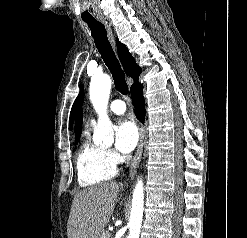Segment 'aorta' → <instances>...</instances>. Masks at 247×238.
<instances>
[{"mask_svg": "<svg viewBox=\"0 0 247 238\" xmlns=\"http://www.w3.org/2000/svg\"><path fill=\"white\" fill-rule=\"evenodd\" d=\"M111 90V79L108 75L93 77L90 83V100L98 113V125L94 131L93 141L97 145H111L114 141L112 123L107 115V105ZM144 210L143 181L138 180L133 191L129 219L128 238H139Z\"/></svg>", "mask_w": 247, "mask_h": 238, "instance_id": "aorta-1", "label": "aorta"}]
</instances>
